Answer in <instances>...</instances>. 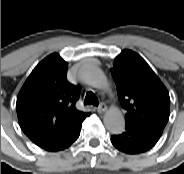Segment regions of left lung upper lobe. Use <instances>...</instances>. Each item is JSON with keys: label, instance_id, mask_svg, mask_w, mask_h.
<instances>
[{"label": "left lung upper lobe", "instance_id": "left-lung-upper-lobe-1", "mask_svg": "<svg viewBox=\"0 0 184 174\" xmlns=\"http://www.w3.org/2000/svg\"><path fill=\"white\" fill-rule=\"evenodd\" d=\"M111 74L119 101L127 111L126 126L161 136L169 119L170 97L145 60L123 50L115 58Z\"/></svg>", "mask_w": 184, "mask_h": 174}]
</instances>
